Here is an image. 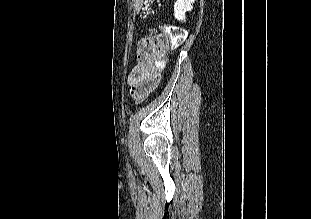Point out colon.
<instances>
[{
    "label": "colon",
    "mask_w": 311,
    "mask_h": 219,
    "mask_svg": "<svg viewBox=\"0 0 311 219\" xmlns=\"http://www.w3.org/2000/svg\"><path fill=\"white\" fill-rule=\"evenodd\" d=\"M184 38L185 31L175 25L163 26L157 34L142 37L138 42L137 70L159 76V63L164 60L167 50L181 44Z\"/></svg>",
    "instance_id": "colon-1"
}]
</instances>
